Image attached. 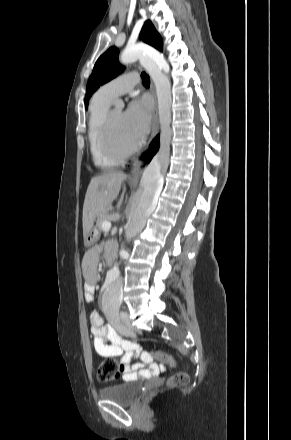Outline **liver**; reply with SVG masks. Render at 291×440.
<instances>
[{"label":"liver","mask_w":291,"mask_h":440,"mask_svg":"<svg viewBox=\"0 0 291 440\" xmlns=\"http://www.w3.org/2000/svg\"><path fill=\"white\" fill-rule=\"evenodd\" d=\"M126 179V174L120 171H109L91 179L85 195L83 205V235L89 233L93 228L96 216L110 207L113 200L119 194L122 182ZM124 191L118 202L121 205Z\"/></svg>","instance_id":"obj_1"}]
</instances>
